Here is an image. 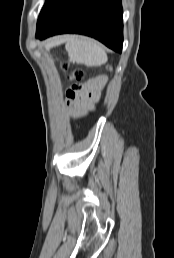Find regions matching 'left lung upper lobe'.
<instances>
[{"instance_id":"obj_1","label":"left lung upper lobe","mask_w":174,"mask_h":258,"mask_svg":"<svg viewBox=\"0 0 174 258\" xmlns=\"http://www.w3.org/2000/svg\"><path fill=\"white\" fill-rule=\"evenodd\" d=\"M57 1L58 0H46L45 1L43 9H42V11L39 15V18H38L37 27L43 22V20L48 15V13L50 12V10L52 9V7L55 5V3Z\"/></svg>"}]
</instances>
